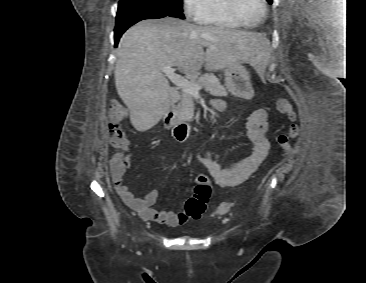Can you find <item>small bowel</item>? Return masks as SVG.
<instances>
[{"mask_svg":"<svg viewBox=\"0 0 366 283\" xmlns=\"http://www.w3.org/2000/svg\"><path fill=\"white\" fill-rule=\"evenodd\" d=\"M212 106L217 111L226 109L225 103L220 99H214ZM268 131L267 110L263 108L256 109L249 114L246 123V135L253 144L252 152L249 156L231 166H224L220 156L214 151L198 153L196 159L206 167L218 186H237L247 180L267 157L270 147ZM162 158L165 159L164 156ZM109 166L117 193L141 217L171 227H176L186 222L187 218L183 213L152 208L158 197L156 189L150 190L143 198L135 197L124 184V175L127 167H122L118 163V155H115L110 160Z\"/></svg>","mask_w":366,"mask_h":283,"instance_id":"1","label":"small bowel"}]
</instances>
